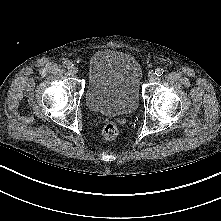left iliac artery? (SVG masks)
I'll list each match as a JSON object with an SVG mask.
<instances>
[{"label": "left iliac artery", "instance_id": "left-iliac-artery-1", "mask_svg": "<svg viewBox=\"0 0 221 221\" xmlns=\"http://www.w3.org/2000/svg\"><path fill=\"white\" fill-rule=\"evenodd\" d=\"M163 73H164V70H163L162 68H157V69L155 70V74H156L157 76H162Z\"/></svg>", "mask_w": 221, "mask_h": 221}]
</instances>
